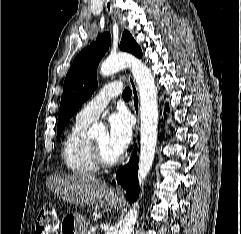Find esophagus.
<instances>
[{
    "instance_id": "34e87169",
    "label": "esophagus",
    "mask_w": 241,
    "mask_h": 234,
    "mask_svg": "<svg viewBox=\"0 0 241 234\" xmlns=\"http://www.w3.org/2000/svg\"><path fill=\"white\" fill-rule=\"evenodd\" d=\"M105 5H106V8H107V11L109 12V14L113 15L114 10H113V5L111 3V0H106ZM128 81H129V85H130L131 91H132L131 105H132L133 112H134L135 116L137 117V130H138L139 129V114H140L139 91H138L137 84L131 74L128 75ZM112 193L115 196H121V195H123V189L120 185H118L117 187H115L112 190Z\"/></svg>"
}]
</instances>
